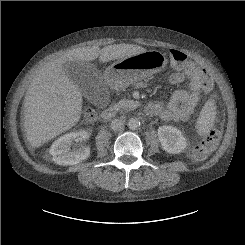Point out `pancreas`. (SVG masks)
Instances as JSON below:
<instances>
[{"label": "pancreas", "mask_w": 245, "mask_h": 245, "mask_svg": "<svg viewBox=\"0 0 245 245\" xmlns=\"http://www.w3.org/2000/svg\"><path fill=\"white\" fill-rule=\"evenodd\" d=\"M139 106V102L133 100L122 99L114 105L115 109L133 110Z\"/></svg>", "instance_id": "cf45deb5"}]
</instances>
